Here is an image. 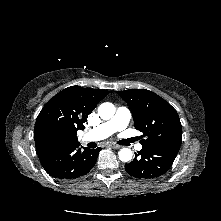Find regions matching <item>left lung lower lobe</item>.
<instances>
[{
  "mask_svg": "<svg viewBox=\"0 0 221 221\" xmlns=\"http://www.w3.org/2000/svg\"><path fill=\"white\" fill-rule=\"evenodd\" d=\"M177 153L167 148L142 145L134 160L125 165V170L135 178L153 179L169 170Z\"/></svg>",
  "mask_w": 221,
  "mask_h": 221,
  "instance_id": "left-lung-lower-lobe-1",
  "label": "left lung lower lobe"
}]
</instances>
